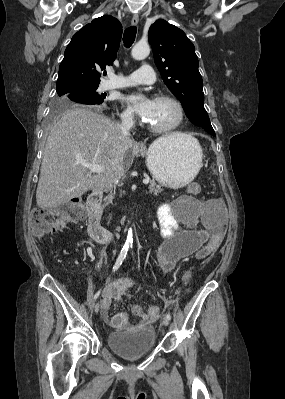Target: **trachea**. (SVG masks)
Instances as JSON below:
<instances>
[{"instance_id": "trachea-1", "label": "trachea", "mask_w": 285, "mask_h": 399, "mask_svg": "<svg viewBox=\"0 0 285 399\" xmlns=\"http://www.w3.org/2000/svg\"><path fill=\"white\" fill-rule=\"evenodd\" d=\"M137 28L135 26L128 27L123 35V42L126 48H129L135 41Z\"/></svg>"}]
</instances>
